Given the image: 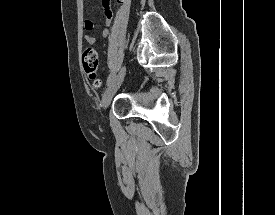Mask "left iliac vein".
<instances>
[{
    "mask_svg": "<svg viewBox=\"0 0 275 215\" xmlns=\"http://www.w3.org/2000/svg\"><path fill=\"white\" fill-rule=\"evenodd\" d=\"M125 73H126V68H125V66H123L122 69L120 70V72L118 73V75L116 76V78L113 79V81L110 83L107 90L103 94L102 104H103L104 108H107L108 105L110 104L114 94L120 87V85L125 77Z\"/></svg>",
    "mask_w": 275,
    "mask_h": 215,
    "instance_id": "1",
    "label": "left iliac vein"
}]
</instances>
